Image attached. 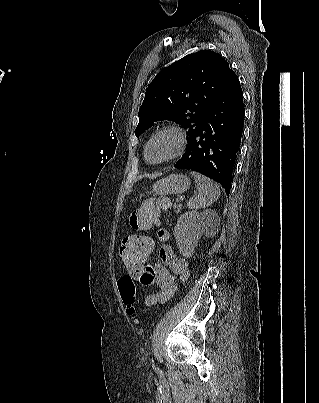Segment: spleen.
I'll return each instance as SVG.
<instances>
[{
    "label": "spleen",
    "instance_id": "spleen-1",
    "mask_svg": "<svg viewBox=\"0 0 319 403\" xmlns=\"http://www.w3.org/2000/svg\"><path fill=\"white\" fill-rule=\"evenodd\" d=\"M190 174L195 179L198 194L188 200V208L202 209L208 207L220 197V189L217 184L200 173L193 171Z\"/></svg>",
    "mask_w": 319,
    "mask_h": 403
}]
</instances>
